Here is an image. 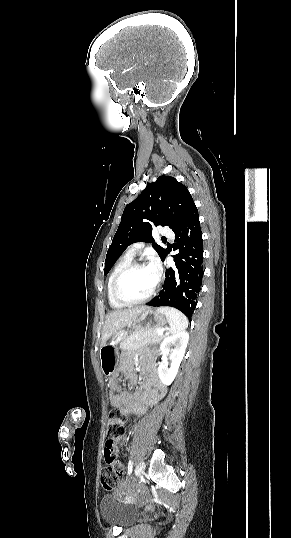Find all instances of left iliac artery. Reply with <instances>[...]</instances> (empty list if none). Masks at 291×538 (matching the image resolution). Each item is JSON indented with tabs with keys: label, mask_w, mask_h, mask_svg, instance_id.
Listing matches in <instances>:
<instances>
[{
	"label": "left iliac artery",
	"mask_w": 291,
	"mask_h": 538,
	"mask_svg": "<svg viewBox=\"0 0 291 538\" xmlns=\"http://www.w3.org/2000/svg\"><path fill=\"white\" fill-rule=\"evenodd\" d=\"M133 469V462L130 460L128 463V474L130 475Z\"/></svg>",
	"instance_id": "44dca946"
}]
</instances>
